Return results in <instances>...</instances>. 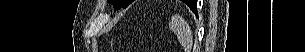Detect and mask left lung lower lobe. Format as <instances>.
Returning a JSON list of instances; mask_svg holds the SVG:
<instances>
[{
    "instance_id": "0a47b994",
    "label": "left lung lower lobe",
    "mask_w": 305,
    "mask_h": 52,
    "mask_svg": "<svg viewBox=\"0 0 305 52\" xmlns=\"http://www.w3.org/2000/svg\"><path fill=\"white\" fill-rule=\"evenodd\" d=\"M189 7L192 9V11L197 15V8H196V1L194 0Z\"/></svg>"
}]
</instances>
